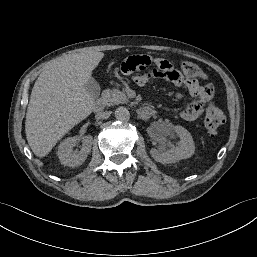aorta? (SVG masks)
I'll return each instance as SVG.
<instances>
[{
    "label": "aorta",
    "instance_id": "1",
    "mask_svg": "<svg viewBox=\"0 0 257 257\" xmlns=\"http://www.w3.org/2000/svg\"><path fill=\"white\" fill-rule=\"evenodd\" d=\"M115 117L120 121H128L130 119V113L125 107H118L115 110Z\"/></svg>",
    "mask_w": 257,
    "mask_h": 257
}]
</instances>
